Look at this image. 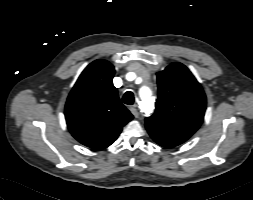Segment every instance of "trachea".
Returning <instances> with one entry per match:
<instances>
[{
	"label": "trachea",
	"mask_w": 253,
	"mask_h": 200,
	"mask_svg": "<svg viewBox=\"0 0 253 200\" xmlns=\"http://www.w3.org/2000/svg\"><path fill=\"white\" fill-rule=\"evenodd\" d=\"M122 101L127 105H132L134 103V94L131 91H127L124 94Z\"/></svg>",
	"instance_id": "3493384b"
}]
</instances>
